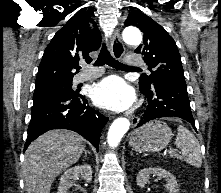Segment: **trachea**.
<instances>
[{"instance_id":"trachea-1","label":"trachea","mask_w":221,"mask_h":193,"mask_svg":"<svg viewBox=\"0 0 221 193\" xmlns=\"http://www.w3.org/2000/svg\"><path fill=\"white\" fill-rule=\"evenodd\" d=\"M109 65L113 68H132V69H139L137 67H131V66H128V65H125L123 63H120L118 60L114 59L109 51H108V48L106 46L105 43H103L102 45V48L100 50V53H99V56L95 62V66H103V65ZM80 69V68H78ZM140 70V69H139Z\"/></svg>"}]
</instances>
